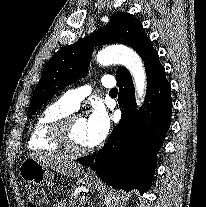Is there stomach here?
Masks as SVG:
<instances>
[{
  "instance_id": "0dacf381",
  "label": "stomach",
  "mask_w": 206,
  "mask_h": 207,
  "mask_svg": "<svg viewBox=\"0 0 206 207\" xmlns=\"http://www.w3.org/2000/svg\"><path fill=\"white\" fill-rule=\"evenodd\" d=\"M19 175L25 182L30 184L50 187L53 183L52 171L45 165L29 157L21 162ZM79 181L91 189L99 186V181L93 176L84 175Z\"/></svg>"
}]
</instances>
